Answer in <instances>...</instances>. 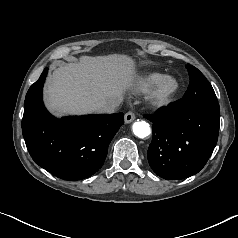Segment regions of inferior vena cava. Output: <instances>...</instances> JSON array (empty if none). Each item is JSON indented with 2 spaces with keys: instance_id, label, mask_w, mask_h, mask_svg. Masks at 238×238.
Listing matches in <instances>:
<instances>
[{
  "instance_id": "obj_1",
  "label": "inferior vena cava",
  "mask_w": 238,
  "mask_h": 238,
  "mask_svg": "<svg viewBox=\"0 0 238 238\" xmlns=\"http://www.w3.org/2000/svg\"><path fill=\"white\" fill-rule=\"evenodd\" d=\"M120 103V100H114L108 103L99 104L97 106V111L105 114L114 113L115 110L119 107Z\"/></svg>"
}]
</instances>
